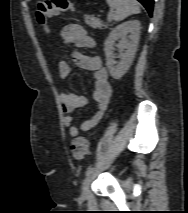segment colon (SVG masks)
Masks as SVG:
<instances>
[{"instance_id": "obj_1", "label": "colon", "mask_w": 188, "mask_h": 213, "mask_svg": "<svg viewBox=\"0 0 188 213\" xmlns=\"http://www.w3.org/2000/svg\"><path fill=\"white\" fill-rule=\"evenodd\" d=\"M72 0H39L36 5V18L44 28L48 20L63 11L73 10ZM89 144L84 137H77L71 143V153L74 159L82 160L88 153Z\"/></svg>"}]
</instances>
